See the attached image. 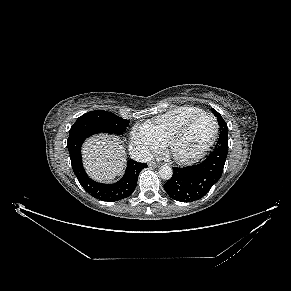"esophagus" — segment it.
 <instances>
[{
  "instance_id": "34e87169",
  "label": "esophagus",
  "mask_w": 291,
  "mask_h": 291,
  "mask_svg": "<svg viewBox=\"0 0 291 291\" xmlns=\"http://www.w3.org/2000/svg\"><path fill=\"white\" fill-rule=\"evenodd\" d=\"M148 166H149L150 168H157V167H159V164H158V163H155V162H150V163L148 164Z\"/></svg>"
}]
</instances>
